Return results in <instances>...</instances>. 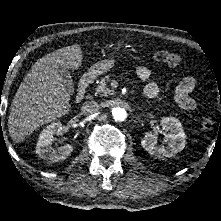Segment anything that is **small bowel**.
Wrapping results in <instances>:
<instances>
[{"instance_id": "c3829d8e", "label": "small bowel", "mask_w": 221, "mask_h": 221, "mask_svg": "<svg viewBox=\"0 0 221 221\" xmlns=\"http://www.w3.org/2000/svg\"><path fill=\"white\" fill-rule=\"evenodd\" d=\"M136 74L141 80L147 81L151 76V71L146 66H139L136 69ZM195 86L196 80L191 76L185 77L177 86L175 90V101L181 108L189 111L197 109L198 104L191 96ZM144 94L151 100L161 99V92L156 83L147 84Z\"/></svg>"}]
</instances>
